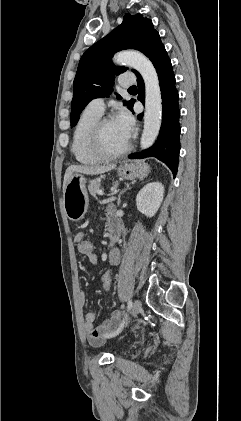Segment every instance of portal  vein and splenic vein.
Masks as SVG:
<instances>
[{
    "mask_svg": "<svg viewBox=\"0 0 241 421\" xmlns=\"http://www.w3.org/2000/svg\"><path fill=\"white\" fill-rule=\"evenodd\" d=\"M118 192V190L117 189H115L114 191H112V193L110 194V195H114L115 193H117ZM97 194L98 195H100V196H102V195H104V192L102 191V190H99L98 192H97ZM113 199V197H110V198H108L107 199V201H111Z\"/></svg>",
    "mask_w": 241,
    "mask_h": 421,
    "instance_id": "1",
    "label": "portal vein and splenic vein"
}]
</instances>
